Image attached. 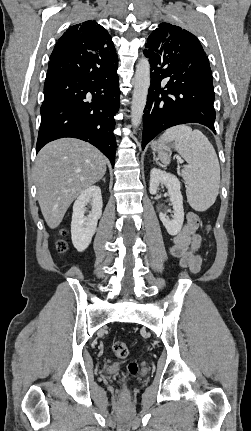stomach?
Returning a JSON list of instances; mask_svg holds the SVG:
<instances>
[{
	"label": "stomach",
	"instance_id": "1",
	"mask_svg": "<svg viewBox=\"0 0 251 431\" xmlns=\"http://www.w3.org/2000/svg\"><path fill=\"white\" fill-rule=\"evenodd\" d=\"M172 148H176V144L174 142H154L152 144L153 151L165 152V151H171Z\"/></svg>",
	"mask_w": 251,
	"mask_h": 431
}]
</instances>
